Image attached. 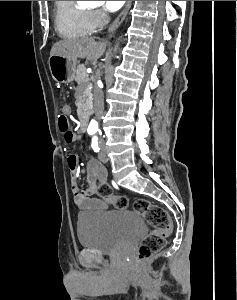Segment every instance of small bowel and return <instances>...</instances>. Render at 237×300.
Instances as JSON below:
<instances>
[{"label": "small bowel", "mask_w": 237, "mask_h": 300, "mask_svg": "<svg viewBox=\"0 0 237 300\" xmlns=\"http://www.w3.org/2000/svg\"><path fill=\"white\" fill-rule=\"evenodd\" d=\"M64 115H70L69 107L65 106L62 109ZM67 165L71 177V188L75 204L83 210H100L108 207V201L98 198L97 186L104 184L107 179L105 168L96 161H91L87 168V189H81L78 184V157L74 153L67 156Z\"/></svg>", "instance_id": "c3829d8e"}]
</instances>
